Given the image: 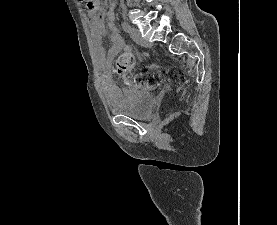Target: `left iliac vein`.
I'll return each instance as SVG.
<instances>
[{
    "instance_id": "4c4485c4",
    "label": "left iliac vein",
    "mask_w": 277,
    "mask_h": 225,
    "mask_svg": "<svg viewBox=\"0 0 277 225\" xmlns=\"http://www.w3.org/2000/svg\"><path fill=\"white\" fill-rule=\"evenodd\" d=\"M130 36L134 40V42L137 43L138 45L145 46V47L150 46V43L141 37V34L138 29L132 28L130 32Z\"/></svg>"
}]
</instances>
